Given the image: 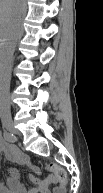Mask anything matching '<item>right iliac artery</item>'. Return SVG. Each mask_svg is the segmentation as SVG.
I'll return each mask as SVG.
<instances>
[{"label":"right iliac artery","mask_w":103,"mask_h":193,"mask_svg":"<svg viewBox=\"0 0 103 193\" xmlns=\"http://www.w3.org/2000/svg\"><path fill=\"white\" fill-rule=\"evenodd\" d=\"M3 136H4V138H5L7 141H9V142H15V140H16L15 136H14L12 133H9V132H7V131H5V132L3 133Z\"/></svg>","instance_id":"obj_1"}]
</instances>
